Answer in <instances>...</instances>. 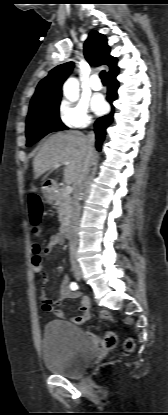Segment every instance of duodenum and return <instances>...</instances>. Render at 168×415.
<instances>
[{
	"mask_svg": "<svg viewBox=\"0 0 168 415\" xmlns=\"http://www.w3.org/2000/svg\"><path fill=\"white\" fill-rule=\"evenodd\" d=\"M44 187H45V189L48 191V192H54L55 191V189H56V186H55V184L53 183V182H51V181H46L45 183H44ZM60 235L63 237V238H66L68 235H69V225L67 224V223H63L61 226H60Z\"/></svg>",
	"mask_w": 168,
	"mask_h": 415,
	"instance_id": "duodenum-1",
	"label": "duodenum"
}]
</instances>
